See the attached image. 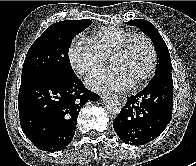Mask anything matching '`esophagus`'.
Segmentation results:
<instances>
[{
    "instance_id": "34e87169",
    "label": "esophagus",
    "mask_w": 196,
    "mask_h": 166,
    "mask_svg": "<svg viewBox=\"0 0 196 166\" xmlns=\"http://www.w3.org/2000/svg\"><path fill=\"white\" fill-rule=\"evenodd\" d=\"M104 95H101V98L103 97ZM120 98V101H121V103H125L126 102V97L125 96H120L119 97Z\"/></svg>"
}]
</instances>
